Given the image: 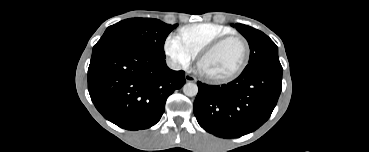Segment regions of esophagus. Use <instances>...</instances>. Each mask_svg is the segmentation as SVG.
<instances>
[{
    "instance_id": "1",
    "label": "esophagus",
    "mask_w": 369,
    "mask_h": 152,
    "mask_svg": "<svg viewBox=\"0 0 369 152\" xmlns=\"http://www.w3.org/2000/svg\"><path fill=\"white\" fill-rule=\"evenodd\" d=\"M185 80L187 82H196V77H194L193 75H190V74H186L185 75Z\"/></svg>"
}]
</instances>
